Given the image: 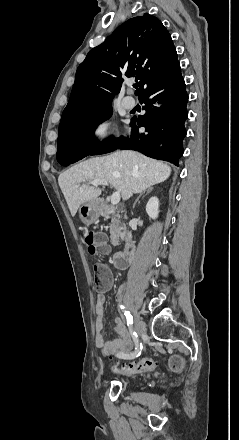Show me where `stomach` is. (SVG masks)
Masks as SVG:
<instances>
[{"label":"stomach","instance_id":"stomach-1","mask_svg":"<svg viewBox=\"0 0 239 440\" xmlns=\"http://www.w3.org/2000/svg\"><path fill=\"white\" fill-rule=\"evenodd\" d=\"M100 214H102V204L100 200H90V202H84L79 208V218L85 226H90L93 222L98 220Z\"/></svg>","mask_w":239,"mask_h":440}]
</instances>
